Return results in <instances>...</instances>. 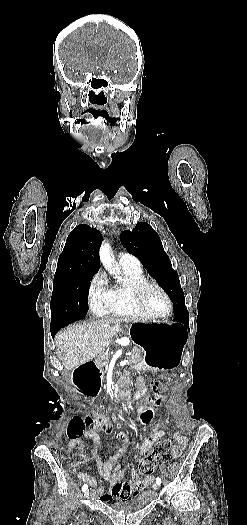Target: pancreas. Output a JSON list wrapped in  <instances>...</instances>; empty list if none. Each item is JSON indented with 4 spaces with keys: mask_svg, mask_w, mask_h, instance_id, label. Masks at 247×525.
I'll list each match as a JSON object with an SVG mask.
<instances>
[{
    "mask_svg": "<svg viewBox=\"0 0 247 525\" xmlns=\"http://www.w3.org/2000/svg\"><path fill=\"white\" fill-rule=\"evenodd\" d=\"M128 353H133V356H129V358L132 360H136V361L147 360V355H142V353H144V350H141V352H139L137 348L128 349ZM96 361H97V365L105 364V361H103V358H96Z\"/></svg>",
    "mask_w": 247,
    "mask_h": 525,
    "instance_id": "obj_1",
    "label": "pancreas"
}]
</instances>
